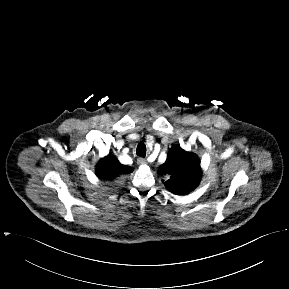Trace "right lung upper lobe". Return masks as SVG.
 <instances>
[{
  "label": "right lung upper lobe",
  "instance_id": "cb5924a9",
  "mask_svg": "<svg viewBox=\"0 0 289 289\" xmlns=\"http://www.w3.org/2000/svg\"><path fill=\"white\" fill-rule=\"evenodd\" d=\"M131 167L119 164L116 158L106 156L97 164V175L101 178L113 179L131 171Z\"/></svg>",
  "mask_w": 289,
  "mask_h": 289
}]
</instances>
